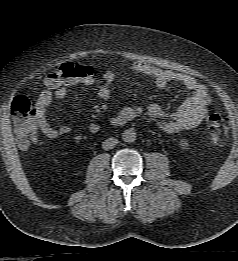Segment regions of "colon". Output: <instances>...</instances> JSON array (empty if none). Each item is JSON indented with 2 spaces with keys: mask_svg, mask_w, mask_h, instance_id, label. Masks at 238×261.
Masks as SVG:
<instances>
[{
  "mask_svg": "<svg viewBox=\"0 0 238 261\" xmlns=\"http://www.w3.org/2000/svg\"><path fill=\"white\" fill-rule=\"evenodd\" d=\"M94 70L89 65L78 63H64L48 76V84L57 86L78 78L93 75ZM11 112L14 121V130L19 146L23 149L36 140L38 125L35 106L25 96L14 99ZM209 140L219 145L225 141L228 132V122L219 113L211 114L208 119Z\"/></svg>",
  "mask_w": 238,
  "mask_h": 261,
  "instance_id": "obj_1",
  "label": "colon"
}]
</instances>
